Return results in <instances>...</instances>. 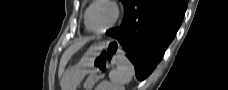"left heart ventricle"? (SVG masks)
Segmentation results:
<instances>
[{
	"instance_id": "b2bd125f",
	"label": "left heart ventricle",
	"mask_w": 228,
	"mask_h": 90,
	"mask_svg": "<svg viewBox=\"0 0 228 90\" xmlns=\"http://www.w3.org/2000/svg\"><path fill=\"white\" fill-rule=\"evenodd\" d=\"M113 10L106 4H97L90 11L89 23L94 30L105 28L113 18Z\"/></svg>"
}]
</instances>
